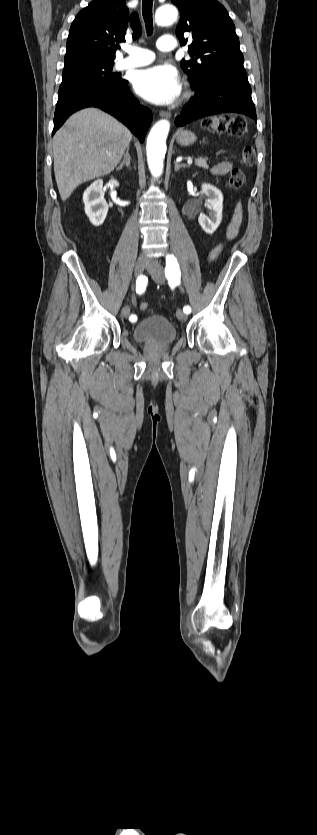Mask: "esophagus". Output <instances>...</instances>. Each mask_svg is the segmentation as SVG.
<instances>
[{
  "instance_id": "34e87169",
  "label": "esophagus",
  "mask_w": 317,
  "mask_h": 835,
  "mask_svg": "<svg viewBox=\"0 0 317 835\" xmlns=\"http://www.w3.org/2000/svg\"><path fill=\"white\" fill-rule=\"evenodd\" d=\"M160 116H161V117H165V118H170V117H171V113H170V112H168V111H161V112H160Z\"/></svg>"
}]
</instances>
